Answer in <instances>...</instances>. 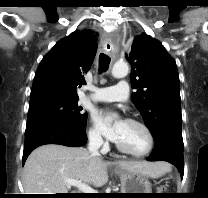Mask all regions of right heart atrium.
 Here are the masks:
<instances>
[{"label": "right heart atrium", "mask_w": 208, "mask_h": 198, "mask_svg": "<svg viewBox=\"0 0 208 198\" xmlns=\"http://www.w3.org/2000/svg\"><path fill=\"white\" fill-rule=\"evenodd\" d=\"M88 139L89 142L96 146V147H105L106 143L104 141V139L102 138L100 132L94 128L91 127L88 131Z\"/></svg>", "instance_id": "d8ad5b80"}]
</instances>
